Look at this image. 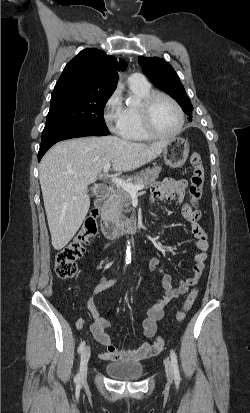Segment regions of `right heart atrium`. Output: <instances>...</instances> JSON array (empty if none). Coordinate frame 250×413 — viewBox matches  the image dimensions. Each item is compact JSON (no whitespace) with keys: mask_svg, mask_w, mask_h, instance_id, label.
Wrapping results in <instances>:
<instances>
[{"mask_svg":"<svg viewBox=\"0 0 250 413\" xmlns=\"http://www.w3.org/2000/svg\"><path fill=\"white\" fill-rule=\"evenodd\" d=\"M103 118L108 129L121 134L124 125V108L118 92H113L103 106Z\"/></svg>","mask_w":250,"mask_h":413,"instance_id":"right-heart-atrium-1","label":"right heart atrium"}]
</instances>
